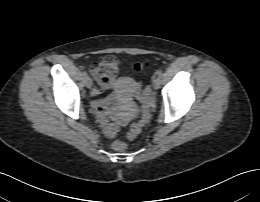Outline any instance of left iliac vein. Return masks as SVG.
<instances>
[{"instance_id": "1", "label": "left iliac vein", "mask_w": 260, "mask_h": 202, "mask_svg": "<svg viewBox=\"0 0 260 202\" xmlns=\"http://www.w3.org/2000/svg\"><path fill=\"white\" fill-rule=\"evenodd\" d=\"M153 88L154 89H159L161 85V79L160 77H156L153 82H152Z\"/></svg>"}]
</instances>
